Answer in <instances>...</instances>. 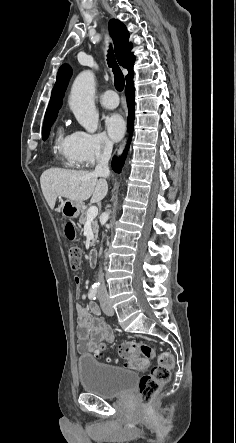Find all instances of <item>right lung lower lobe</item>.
I'll return each mask as SVG.
<instances>
[{
  "mask_svg": "<svg viewBox=\"0 0 236 443\" xmlns=\"http://www.w3.org/2000/svg\"><path fill=\"white\" fill-rule=\"evenodd\" d=\"M133 75L134 72L130 73L129 75L126 76V94H127V104H128V108H129V115H128V130L130 133V138L128 141V144L126 146V149L124 150L122 156L118 159H116L115 157L113 158L112 161V168L114 171L116 172H120L121 168L125 162L126 159V155H127V151L131 142V138H132V133H133V126H134V115H135V99H134V84H133Z\"/></svg>",
  "mask_w": 236,
  "mask_h": 443,
  "instance_id": "1",
  "label": "right lung lower lobe"
}]
</instances>
